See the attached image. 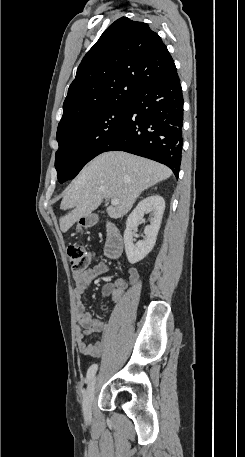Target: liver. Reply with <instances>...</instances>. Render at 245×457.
<instances>
[{"instance_id": "1", "label": "liver", "mask_w": 245, "mask_h": 457, "mask_svg": "<svg viewBox=\"0 0 245 457\" xmlns=\"http://www.w3.org/2000/svg\"><path fill=\"white\" fill-rule=\"evenodd\" d=\"M171 174V168L165 164L122 150L99 154L66 188L60 208L73 210L59 218L62 233L69 231L82 216H89L101 204L102 198H119V204L107 206V212L111 218H121L132 208L142 190Z\"/></svg>"}]
</instances>
